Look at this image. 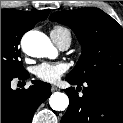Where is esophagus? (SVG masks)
<instances>
[{
	"label": "esophagus",
	"instance_id": "1",
	"mask_svg": "<svg viewBox=\"0 0 123 123\" xmlns=\"http://www.w3.org/2000/svg\"><path fill=\"white\" fill-rule=\"evenodd\" d=\"M57 90H58V88H57L56 86L53 85V86L51 87V91H52V92H55V91H57Z\"/></svg>",
	"mask_w": 123,
	"mask_h": 123
}]
</instances>
